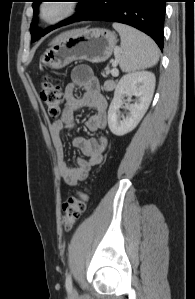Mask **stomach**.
<instances>
[{"instance_id": "obj_1", "label": "stomach", "mask_w": 195, "mask_h": 299, "mask_svg": "<svg viewBox=\"0 0 195 299\" xmlns=\"http://www.w3.org/2000/svg\"><path fill=\"white\" fill-rule=\"evenodd\" d=\"M116 44V34L108 29H76L52 44L41 62L52 69H61L76 60L101 63L112 55Z\"/></svg>"}]
</instances>
